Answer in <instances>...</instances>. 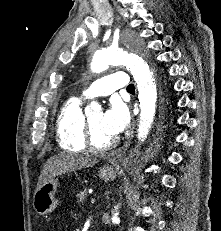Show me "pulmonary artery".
<instances>
[{
  "label": "pulmonary artery",
  "mask_w": 221,
  "mask_h": 231,
  "mask_svg": "<svg viewBox=\"0 0 221 231\" xmlns=\"http://www.w3.org/2000/svg\"><path fill=\"white\" fill-rule=\"evenodd\" d=\"M128 86L129 80L125 72L117 71L92 82L83 90L82 94L91 99L97 96H108L116 89L127 88Z\"/></svg>",
  "instance_id": "e3ab8cb5"
}]
</instances>
